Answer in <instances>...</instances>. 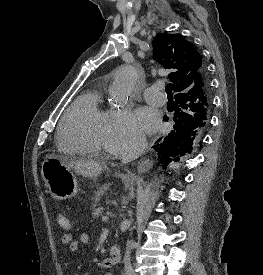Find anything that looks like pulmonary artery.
Segmentation results:
<instances>
[{"label": "pulmonary artery", "instance_id": "e3ab8cb5", "mask_svg": "<svg viewBox=\"0 0 263 275\" xmlns=\"http://www.w3.org/2000/svg\"><path fill=\"white\" fill-rule=\"evenodd\" d=\"M162 85L155 83L146 88L143 92V96L147 102L156 106H162L166 103V96L161 91Z\"/></svg>", "mask_w": 263, "mask_h": 275}]
</instances>
